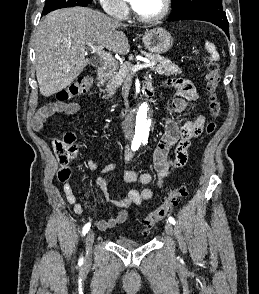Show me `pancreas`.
I'll list each match as a JSON object with an SVG mask.
<instances>
[{"label":"pancreas","instance_id":"pancreas-1","mask_svg":"<svg viewBox=\"0 0 259 294\" xmlns=\"http://www.w3.org/2000/svg\"><path fill=\"white\" fill-rule=\"evenodd\" d=\"M141 53L150 61L158 63L157 66L152 67V69L159 75L170 76L181 74L182 72L177 65L163 56L146 52ZM129 59L132 60L133 56L130 55ZM131 67L132 65L130 62H125L121 68L114 70V72L109 77L105 90H103V92L106 93L105 97H112L114 95L116 89L120 87L132 74L130 70Z\"/></svg>","mask_w":259,"mask_h":294}]
</instances>
